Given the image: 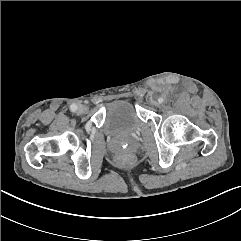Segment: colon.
<instances>
[{"instance_id":"5ec220e1","label":"colon","mask_w":241,"mask_h":241,"mask_svg":"<svg viewBox=\"0 0 241 241\" xmlns=\"http://www.w3.org/2000/svg\"><path fill=\"white\" fill-rule=\"evenodd\" d=\"M119 161L122 162V163H128L130 161V158L127 157V156H121L119 158Z\"/></svg>"}]
</instances>
